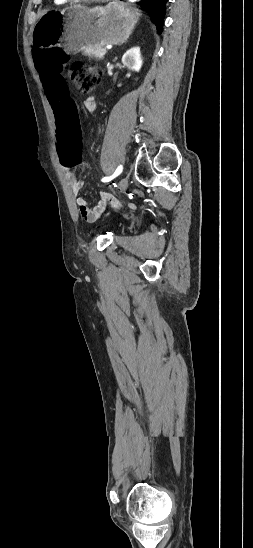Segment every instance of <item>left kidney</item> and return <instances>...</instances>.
<instances>
[{
  "mask_svg": "<svg viewBox=\"0 0 253 548\" xmlns=\"http://www.w3.org/2000/svg\"><path fill=\"white\" fill-rule=\"evenodd\" d=\"M122 63L127 69L139 72L143 63L140 47H133L128 50L122 57Z\"/></svg>",
  "mask_w": 253,
  "mask_h": 548,
  "instance_id": "obj_1",
  "label": "left kidney"
}]
</instances>
